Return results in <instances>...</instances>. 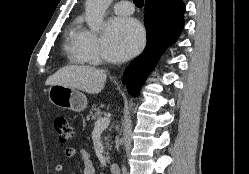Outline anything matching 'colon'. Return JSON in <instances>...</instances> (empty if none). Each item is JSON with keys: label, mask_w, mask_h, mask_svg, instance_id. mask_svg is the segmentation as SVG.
Instances as JSON below:
<instances>
[{"label": "colon", "mask_w": 249, "mask_h": 174, "mask_svg": "<svg viewBox=\"0 0 249 174\" xmlns=\"http://www.w3.org/2000/svg\"><path fill=\"white\" fill-rule=\"evenodd\" d=\"M55 130L61 143H68L74 136V130L64 117H57L54 121Z\"/></svg>", "instance_id": "colon-1"}]
</instances>
